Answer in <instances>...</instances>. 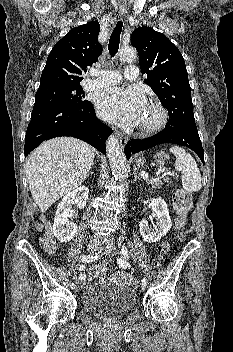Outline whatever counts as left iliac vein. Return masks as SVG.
Wrapping results in <instances>:
<instances>
[{"instance_id":"left-iliac-vein-1","label":"left iliac vein","mask_w":233,"mask_h":352,"mask_svg":"<svg viewBox=\"0 0 233 352\" xmlns=\"http://www.w3.org/2000/svg\"><path fill=\"white\" fill-rule=\"evenodd\" d=\"M139 289L141 292H144L146 290V286L142 284Z\"/></svg>"}]
</instances>
